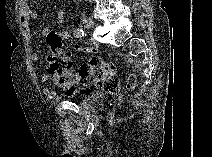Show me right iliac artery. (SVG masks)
<instances>
[{"instance_id": "82829eb1", "label": "right iliac artery", "mask_w": 212, "mask_h": 157, "mask_svg": "<svg viewBox=\"0 0 212 157\" xmlns=\"http://www.w3.org/2000/svg\"><path fill=\"white\" fill-rule=\"evenodd\" d=\"M73 35L77 38L85 36V31L83 29H75Z\"/></svg>"}]
</instances>
